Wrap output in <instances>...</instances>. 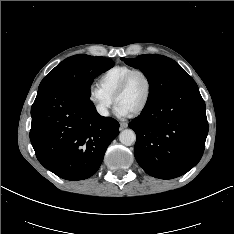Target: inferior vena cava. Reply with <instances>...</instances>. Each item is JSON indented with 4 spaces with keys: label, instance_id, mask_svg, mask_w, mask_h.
<instances>
[{
    "label": "inferior vena cava",
    "instance_id": "602c4592",
    "mask_svg": "<svg viewBox=\"0 0 234 234\" xmlns=\"http://www.w3.org/2000/svg\"><path fill=\"white\" fill-rule=\"evenodd\" d=\"M97 111L101 116H109V112L107 108H105L104 106L98 105Z\"/></svg>",
    "mask_w": 234,
    "mask_h": 234
}]
</instances>
